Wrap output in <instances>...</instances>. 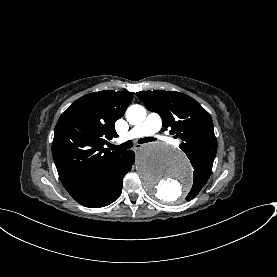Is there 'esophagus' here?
Instances as JSON below:
<instances>
[{
  "mask_svg": "<svg viewBox=\"0 0 277 277\" xmlns=\"http://www.w3.org/2000/svg\"><path fill=\"white\" fill-rule=\"evenodd\" d=\"M142 147H143V144H136V145H135V148H136V149H139V148H142Z\"/></svg>",
  "mask_w": 277,
  "mask_h": 277,
  "instance_id": "obj_1",
  "label": "esophagus"
}]
</instances>
